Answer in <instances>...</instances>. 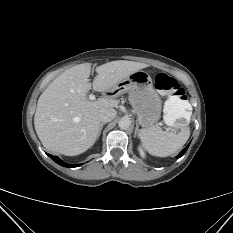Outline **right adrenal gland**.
I'll return each instance as SVG.
<instances>
[{"label": "right adrenal gland", "instance_id": "2a0ac1e0", "mask_svg": "<svg viewBox=\"0 0 233 233\" xmlns=\"http://www.w3.org/2000/svg\"><path fill=\"white\" fill-rule=\"evenodd\" d=\"M105 124H106L105 122H103V123L100 124V129H99V132H98L97 139L99 138V136H100V134H101V131H102V128H103V126H104Z\"/></svg>", "mask_w": 233, "mask_h": 233}]
</instances>
